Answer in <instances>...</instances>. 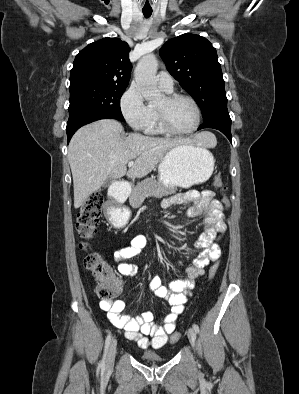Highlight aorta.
I'll use <instances>...</instances> for the list:
<instances>
[{"instance_id":"obj_1","label":"aorta","mask_w":299,"mask_h":394,"mask_svg":"<svg viewBox=\"0 0 299 394\" xmlns=\"http://www.w3.org/2000/svg\"><path fill=\"white\" fill-rule=\"evenodd\" d=\"M157 67L158 62L155 55L148 54L140 59L134 71L136 84L147 101H154L161 97L157 88Z\"/></svg>"}]
</instances>
